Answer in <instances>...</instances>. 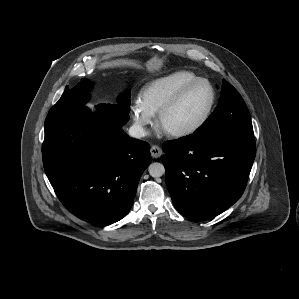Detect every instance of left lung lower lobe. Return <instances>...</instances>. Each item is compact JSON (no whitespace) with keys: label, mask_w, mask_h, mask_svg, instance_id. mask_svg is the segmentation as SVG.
Returning <instances> with one entry per match:
<instances>
[{"label":"left lung lower lobe","mask_w":299,"mask_h":299,"mask_svg":"<svg viewBox=\"0 0 299 299\" xmlns=\"http://www.w3.org/2000/svg\"><path fill=\"white\" fill-rule=\"evenodd\" d=\"M165 181L175 208L193 220L213 218L243 194L256 155L254 136L190 135L163 144Z\"/></svg>","instance_id":"0a47b994"}]
</instances>
